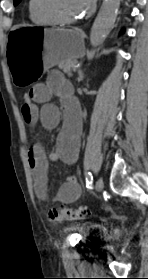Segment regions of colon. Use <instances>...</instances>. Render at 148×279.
<instances>
[{"label":"colon","instance_id":"1","mask_svg":"<svg viewBox=\"0 0 148 279\" xmlns=\"http://www.w3.org/2000/svg\"><path fill=\"white\" fill-rule=\"evenodd\" d=\"M31 89L24 93V104L29 105L32 101ZM89 215V211L86 209H72V208H62L53 209L48 212V216L53 221H64L83 218Z\"/></svg>","mask_w":148,"mask_h":279}]
</instances>
